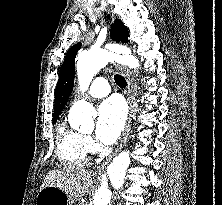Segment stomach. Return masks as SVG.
Masks as SVG:
<instances>
[{
    "label": "stomach",
    "mask_w": 222,
    "mask_h": 205,
    "mask_svg": "<svg viewBox=\"0 0 222 205\" xmlns=\"http://www.w3.org/2000/svg\"><path fill=\"white\" fill-rule=\"evenodd\" d=\"M72 201L64 190L55 186H46L40 189L36 205H71Z\"/></svg>",
    "instance_id": "obj_1"
}]
</instances>
